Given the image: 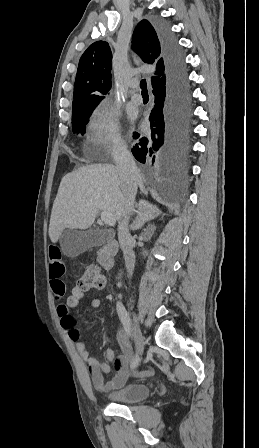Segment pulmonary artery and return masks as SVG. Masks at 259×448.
<instances>
[{"label": "pulmonary artery", "instance_id": "obj_1", "mask_svg": "<svg viewBox=\"0 0 259 448\" xmlns=\"http://www.w3.org/2000/svg\"><path fill=\"white\" fill-rule=\"evenodd\" d=\"M139 81L138 80H133L132 82H131V84H130V87L131 88H133V89H136V88H138L139 87ZM131 101L133 102V103H136V104H140L141 102H142V97L140 96V95H132L131 96Z\"/></svg>", "mask_w": 259, "mask_h": 448}]
</instances>
